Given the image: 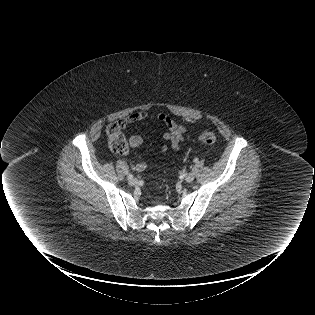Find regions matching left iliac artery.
<instances>
[{
  "label": "left iliac artery",
  "instance_id": "left-iliac-artery-1",
  "mask_svg": "<svg viewBox=\"0 0 315 315\" xmlns=\"http://www.w3.org/2000/svg\"><path fill=\"white\" fill-rule=\"evenodd\" d=\"M194 162H195V163H197V162H198V159H197V158H195V159H194Z\"/></svg>",
  "mask_w": 315,
  "mask_h": 315
}]
</instances>
